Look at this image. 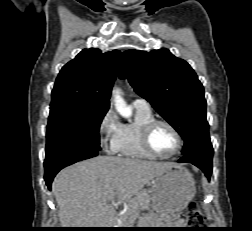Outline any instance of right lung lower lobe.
I'll use <instances>...</instances> for the list:
<instances>
[{"label": "right lung lower lobe", "mask_w": 252, "mask_h": 231, "mask_svg": "<svg viewBox=\"0 0 252 231\" xmlns=\"http://www.w3.org/2000/svg\"><path fill=\"white\" fill-rule=\"evenodd\" d=\"M99 150L90 148H70L46 156L44 161L45 181L50 189L54 176L64 167L75 162L95 157Z\"/></svg>", "instance_id": "obj_1"}]
</instances>
